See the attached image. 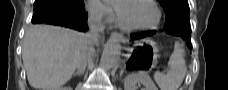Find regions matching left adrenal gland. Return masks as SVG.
Instances as JSON below:
<instances>
[{
    "label": "left adrenal gland",
    "mask_w": 228,
    "mask_h": 90,
    "mask_svg": "<svg viewBox=\"0 0 228 90\" xmlns=\"http://www.w3.org/2000/svg\"><path fill=\"white\" fill-rule=\"evenodd\" d=\"M123 72H124V68L120 72V77L122 76Z\"/></svg>",
    "instance_id": "a2214340"
}]
</instances>
